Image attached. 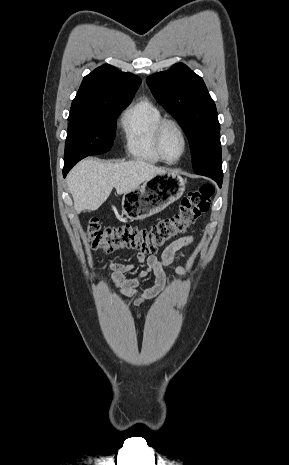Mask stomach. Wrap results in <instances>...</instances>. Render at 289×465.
<instances>
[{
	"mask_svg": "<svg viewBox=\"0 0 289 465\" xmlns=\"http://www.w3.org/2000/svg\"><path fill=\"white\" fill-rule=\"evenodd\" d=\"M185 186L186 180L175 172L158 174L123 195L122 213L130 220H143L178 200Z\"/></svg>",
	"mask_w": 289,
	"mask_h": 465,
	"instance_id": "1",
	"label": "stomach"
}]
</instances>
